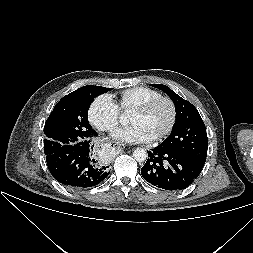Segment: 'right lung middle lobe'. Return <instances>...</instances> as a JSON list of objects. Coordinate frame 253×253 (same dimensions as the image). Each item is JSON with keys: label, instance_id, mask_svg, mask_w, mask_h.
Masks as SVG:
<instances>
[{"label": "right lung middle lobe", "instance_id": "1", "mask_svg": "<svg viewBox=\"0 0 253 253\" xmlns=\"http://www.w3.org/2000/svg\"><path fill=\"white\" fill-rule=\"evenodd\" d=\"M110 90L111 88L89 85L64 96L45 123L44 152L93 137L95 131L88 122V109L96 96Z\"/></svg>", "mask_w": 253, "mask_h": 253}]
</instances>
